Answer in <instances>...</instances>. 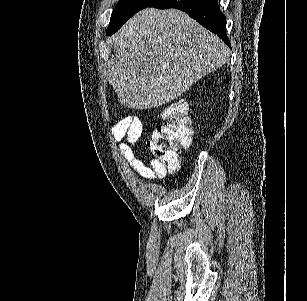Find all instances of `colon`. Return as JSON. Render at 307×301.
<instances>
[{
    "label": "colon",
    "mask_w": 307,
    "mask_h": 301,
    "mask_svg": "<svg viewBox=\"0 0 307 301\" xmlns=\"http://www.w3.org/2000/svg\"><path fill=\"white\" fill-rule=\"evenodd\" d=\"M164 123L154 128L147 147L167 172H175L180 165V150L192 145L194 129L184 100H175L161 112Z\"/></svg>",
    "instance_id": "colon-1"
}]
</instances>
